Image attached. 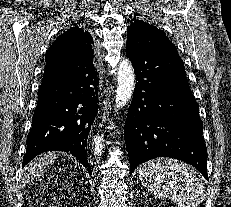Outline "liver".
<instances>
[{"instance_id": "obj_1", "label": "liver", "mask_w": 231, "mask_h": 207, "mask_svg": "<svg viewBox=\"0 0 231 207\" xmlns=\"http://www.w3.org/2000/svg\"><path fill=\"white\" fill-rule=\"evenodd\" d=\"M57 158V154L45 153L33 161H31L25 168L24 178L25 180H32L37 176H40L45 172L50 164Z\"/></svg>"}]
</instances>
